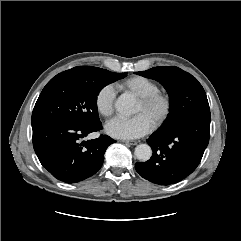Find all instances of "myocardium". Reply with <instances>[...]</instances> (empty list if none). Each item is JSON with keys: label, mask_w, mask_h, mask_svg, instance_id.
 Returning a JSON list of instances; mask_svg holds the SVG:
<instances>
[{"label": "myocardium", "mask_w": 241, "mask_h": 241, "mask_svg": "<svg viewBox=\"0 0 241 241\" xmlns=\"http://www.w3.org/2000/svg\"><path fill=\"white\" fill-rule=\"evenodd\" d=\"M139 102L146 110L156 109L152 120V125L155 128L161 126L167 120L172 109L171 96L163 91H156L142 97Z\"/></svg>", "instance_id": "f54148a6"}]
</instances>
